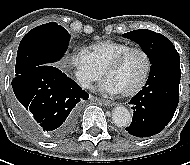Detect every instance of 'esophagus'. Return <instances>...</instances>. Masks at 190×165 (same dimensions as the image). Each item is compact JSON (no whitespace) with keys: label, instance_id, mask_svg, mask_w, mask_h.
I'll list each match as a JSON object with an SVG mask.
<instances>
[{"label":"esophagus","instance_id":"34e87169","mask_svg":"<svg viewBox=\"0 0 190 165\" xmlns=\"http://www.w3.org/2000/svg\"><path fill=\"white\" fill-rule=\"evenodd\" d=\"M101 102L105 105V106H113L115 105L116 103L111 101V100H104L102 99Z\"/></svg>","mask_w":190,"mask_h":165}]
</instances>
